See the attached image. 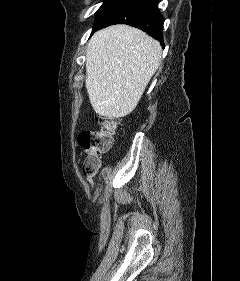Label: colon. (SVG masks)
Returning a JSON list of instances; mask_svg holds the SVG:
<instances>
[{
	"label": "colon",
	"instance_id": "5ec220e1",
	"mask_svg": "<svg viewBox=\"0 0 240 281\" xmlns=\"http://www.w3.org/2000/svg\"><path fill=\"white\" fill-rule=\"evenodd\" d=\"M99 129L83 131L78 136L80 147L86 152L87 157L83 165L85 174H94L101 166V157L107 153L118 130V120L111 117H98Z\"/></svg>",
	"mask_w": 240,
	"mask_h": 281
}]
</instances>
